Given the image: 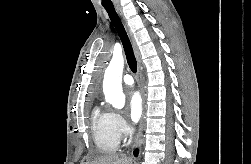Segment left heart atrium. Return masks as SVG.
I'll return each instance as SVG.
<instances>
[{
    "label": "left heart atrium",
    "instance_id": "obj_1",
    "mask_svg": "<svg viewBox=\"0 0 251 164\" xmlns=\"http://www.w3.org/2000/svg\"><path fill=\"white\" fill-rule=\"evenodd\" d=\"M128 112L133 122L140 119L142 114V100L137 91H131L128 95Z\"/></svg>",
    "mask_w": 251,
    "mask_h": 164
}]
</instances>
